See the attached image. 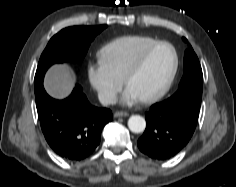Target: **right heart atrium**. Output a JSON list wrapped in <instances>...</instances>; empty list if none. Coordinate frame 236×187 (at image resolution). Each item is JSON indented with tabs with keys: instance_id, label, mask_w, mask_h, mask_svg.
I'll return each mask as SVG.
<instances>
[{
	"instance_id": "right-heart-atrium-1",
	"label": "right heart atrium",
	"mask_w": 236,
	"mask_h": 187,
	"mask_svg": "<svg viewBox=\"0 0 236 187\" xmlns=\"http://www.w3.org/2000/svg\"><path fill=\"white\" fill-rule=\"evenodd\" d=\"M87 77L102 103L112 104L115 102L123 84L122 80L114 76L100 63H92L87 67Z\"/></svg>"
}]
</instances>
